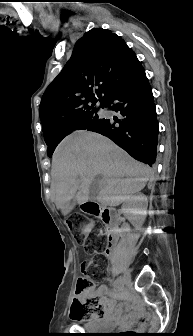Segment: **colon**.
Masks as SVG:
<instances>
[{
  "instance_id": "1",
  "label": "colon",
  "mask_w": 193,
  "mask_h": 336,
  "mask_svg": "<svg viewBox=\"0 0 193 336\" xmlns=\"http://www.w3.org/2000/svg\"><path fill=\"white\" fill-rule=\"evenodd\" d=\"M68 227L73 231L76 241L83 244L87 251L94 253L103 251L98 234L100 228L95 223L85 222L81 216L74 215L69 218ZM87 230H89L88 233ZM89 265V261H83L81 264L82 276L77 280L75 296L71 304L70 317L76 321L88 319L103 312L101 299L96 295H87L94 287V280L87 274Z\"/></svg>"
}]
</instances>
